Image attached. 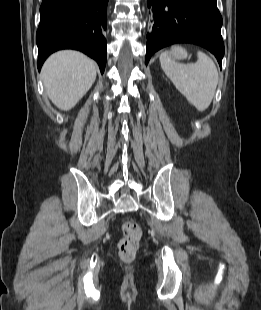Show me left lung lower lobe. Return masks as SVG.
Segmentation results:
<instances>
[{"mask_svg":"<svg viewBox=\"0 0 261 310\" xmlns=\"http://www.w3.org/2000/svg\"><path fill=\"white\" fill-rule=\"evenodd\" d=\"M147 5L154 24L147 33L146 65L159 49L187 42L209 50L221 66L224 43L216 0H147Z\"/></svg>","mask_w":261,"mask_h":310,"instance_id":"obj_1","label":"left lung lower lobe"}]
</instances>
